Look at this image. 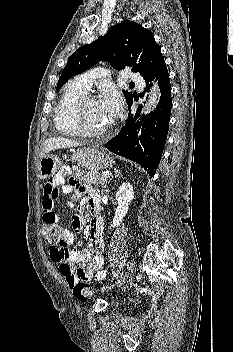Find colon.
Wrapping results in <instances>:
<instances>
[{"label":"colon","mask_w":233,"mask_h":352,"mask_svg":"<svg viewBox=\"0 0 233 352\" xmlns=\"http://www.w3.org/2000/svg\"><path fill=\"white\" fill-rule=\"evenodd\" d=\"M43 238L51 246H63L65 237L61 227L56 225L44 224L41 229ZM73 294L79 301H86L92 293L91 286L85 282H78L72 287Z\"/></svg>","instance_id":"1"}]
</instances>
